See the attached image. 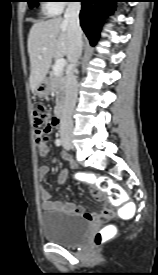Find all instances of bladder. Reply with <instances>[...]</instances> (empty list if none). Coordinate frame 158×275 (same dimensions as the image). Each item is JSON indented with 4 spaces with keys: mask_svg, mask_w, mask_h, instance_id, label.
<instances>
[{
    "mask_svg": "<svg viewBox=\"0 0 158 275\" xmlns=\"http://www.w3.org/2000/svg\"><path fill=\"white\" fill-rule=\"evenodd\" d=\"M41 228L46 240L63 246H75L86 236L90 221L78 214L52 209L42 214Z\"/></svg>",
    "mask_w": 158,
    "mask_h": 275,
    "instance_id": "1",
    "label": "bladder"
}]
</instances>
